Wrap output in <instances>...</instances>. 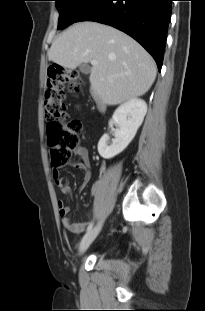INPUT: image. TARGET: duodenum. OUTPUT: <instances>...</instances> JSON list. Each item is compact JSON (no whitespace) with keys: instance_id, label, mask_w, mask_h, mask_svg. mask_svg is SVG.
Returning a JSON list of instances; mask_svg holds the SVG:
<instances>
[{"instance_id":"obj_1","label":"duodenum","mask_w":205,"mask_h":311,"mask_svg":"<svg viewBox=\"0 0 205 311\" xmlns=\"http://www.w3.org/2000/svg\"><path fill=\"white\" fill-rule=\"evenodd\" d=\"M92 97H93V99L95 101V104H96L98 110L100 112H103L105 110V108H106V105H105L104 101L102 100L101 96L99 95V93L96 90H94L92 92Z\"/></svg>"}]
</instances>
